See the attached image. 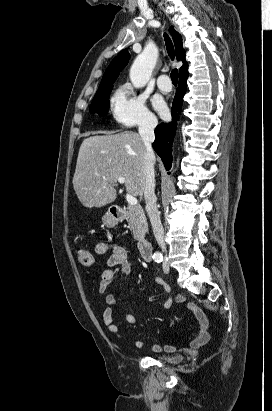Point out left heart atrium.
Instances as JSON below:
<instances>
[{"instance_id": "39dd6f15", "label": "left heart atrium", "mask_w": 272, "mask_h": 411, "mask_svg": "<svg viewBox=\"0 0 272 411\" xmlns=\"http://www.w3.org/2000/svg\"><path fill=\"white\" fill-rule=\"evenodd\" d=\"M154 106L157 109V111L161 114V115H165L166 114V106L162 101L156 100L154 102Z\"/></svg>"}]
</instances>
